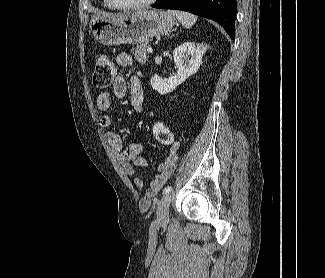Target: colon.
<instances>
[{
	"instance_id": "colon-1",
	"label": "colon",
	"mask_w": 325,
	"mask_h": 278,
	"mask_svg": "<svg viewBox=\"0 0 325 278\" xmlns=\"http://www.w3.org/2000/svg\"><path fill=\"white\" fill-rule=\"evenodd\" d=\"M114 79V66L104 55L97 58L94 66L92 84L95 88L104 90L111 86ZM154 137L162 144H170L173 141L171 130L163 122H155L152 126Z\"/></svg>"
}]
</instances>
